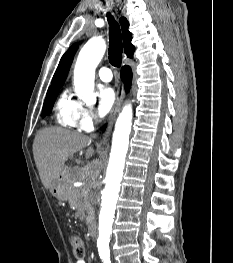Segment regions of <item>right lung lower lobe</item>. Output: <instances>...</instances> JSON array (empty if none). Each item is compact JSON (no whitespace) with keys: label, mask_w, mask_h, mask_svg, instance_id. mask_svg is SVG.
<instances>
[{"label":"right lung lower lobe","mask_w":233,"mask_h":263,"mask_svg":"<svg viewBox=\"0 0 233 263\" xmlns=\"http://www.w3.org/2000/svg\"><path fill=\"white\" fill-rule=\"evenodd\" d=\"M121 77L123 82L125 83V90L128 91L130 89V85L132 81V71L129 66H124L122 68Z\"/></svg>","instance_id":"1"}]
</instances>
